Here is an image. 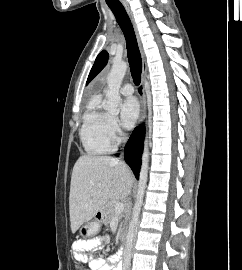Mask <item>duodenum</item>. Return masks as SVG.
Listing matches in <instances>:
<instances>
[{"label": "duodenum", "mask_w": 242, "mask_h": 270, "mask_svg": "<svg viewBox=\"0 0 242 270\" xmlns=\"http://www.w3.org/2000/svg\"><path fill=\"white\" fill-rule=\"evenodd\" d=\"M119 239H120V242H121L122 244H124V243L126 242V234H125V233H122V234L120 235Z\"/></svg>", "instance_id": "410a0bca"}]
</instances>
